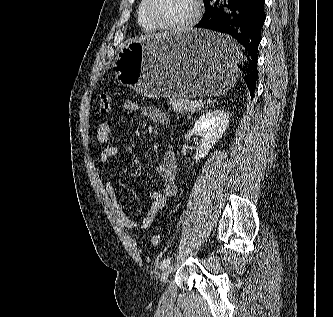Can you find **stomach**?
<instances>
[{"mask_svg": "<svg viewBox=\"0 0 333 317\" xmlns=\"http://www.w3.org/2000/svg\"><path fill=\"white\" fill-rule=\"evenodd\" d=\"M232 33L190 30L133 40L114 64L119 81L144 97L218 96L240 81L235 62H246Z\"/></svg>", "mask_w": 333, "mask_h": 317, "instance_id": "1", "label": "stomach"}]
</instances>
